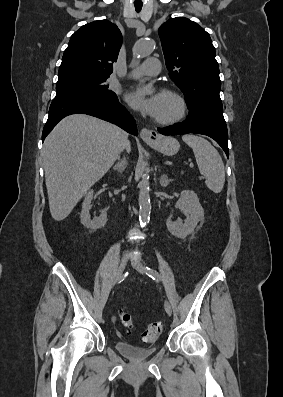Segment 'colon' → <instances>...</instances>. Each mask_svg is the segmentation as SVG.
<instances>
[{
  "instance_id": "1",
  "label": "colon",
  "mask_w": 283,
  "mask_h": 397,
  "mask_svg": "<svg viewBox=\"0 0 283 397\" xmlns=\"http://www.w3.org/2000/svg\"><path fill=\"white\" fill-rule=\"evenodd\" d=\"M121 323L127 327H132V316L130 313L126 311H122L120 313ZM163 330V324L161 322H152L150 323L144 333L142 334V341L146 344L153 343L157 340Z\"/></svg>"
}]
</instances>
